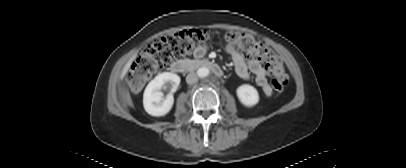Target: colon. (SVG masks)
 Instances as JSON below:
<instances>
[{"label":"colon","instance_id":"obj_1","mask_svg":"<svg viewBox=\"0 0 406 168\" xmlns=\"http://www.w3.org/2000/svg\"><path fill=\"white\" fill-rule=\"evenodd\" d=\"M209 36L206 30L190 28L153 41L132 63L126 76L128 85L134 92L139 91L158 69L202 47ZM225 40L245 57L265 59L274 91L276 93L284 91L288 76L283 63L265 42L257 41L249 34L236 31L226 32Z\"/></svg>","mask_w":406,"mask_h":168}]
</instances>
